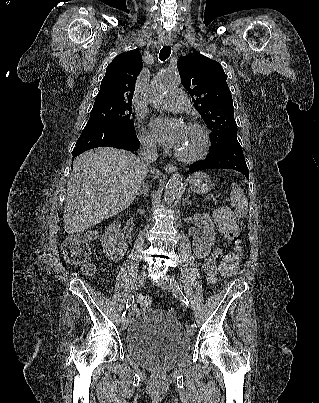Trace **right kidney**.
<instances>
[{"mask_svg":"<svg viewBox=\"0 0 319 403\" xmlns=\"http://www.w3.org/2000/svg\"><path fill=\"white\" fill-rule=\"evenodd\" d=\"M101 245L105 256L112 262H118L127 251V242L124 233L121 231V224L113 222L105 228L101 238Z\"/></svg>","mask_w":319,"mask_h":403,"instance_id":"obj_1","label":"right kidney"}]
</instances>
